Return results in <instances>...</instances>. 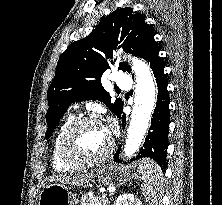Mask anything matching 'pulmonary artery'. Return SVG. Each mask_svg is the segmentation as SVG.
<instances>
[{"instance_id":"obj_1","label":"pulmonary artery","mask_w":222,"mask_h":205,"mask_svg":"<svg viewBox=\"0 0 222 205\" xmlns=\"http://www.w3.org/2000/svg\"><path fill=\"white\" fill-rule=\"evenodd\" d=\"M117 89H128L131 85V76L124 73H118L114 79ZM73 108H78V104H74Z\"/></svg>"}]
</instances>
